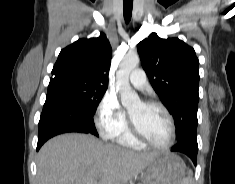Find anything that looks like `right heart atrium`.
Masks as SVG:
<instances>
[{
	"instance_id": "d8ad5b80",
	"label": "right heart atrium",
	"mask_w": 235,
	"mask_h": 184,
	"mask_svg": "<svg viewBox=\"0 0 235 184\" xmlns=\"http://www.w3.org/2000/svg\"><path fill=\"white\" fill-rule=\"evenodd\" d=\"M93 120L98 133L107 139H117L128 123L126 112L112 93L103 96L95 109Z\"/></svg>"
}]
</instances>
